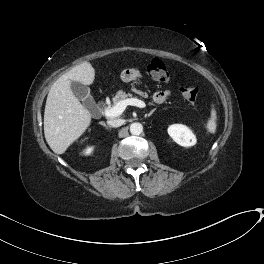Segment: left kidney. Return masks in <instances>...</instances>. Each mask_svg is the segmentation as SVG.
<instances>
[{"mask_svg": "<svg viewBox=\"0 0 264 264\" xmlns=\"http://www.w3.org/2000/svg\"><path fill=\"white\" fill-rule=\"evenodd\" d=\"M168 134L179 145L190 147L196 144V137L192 131L183 124H173L168 127Z\"/></svg>", "mask_w": 264, "mask_h": 264, "instance_id": "left-kidney-1", "label": "left kidney"}]
</instances>
